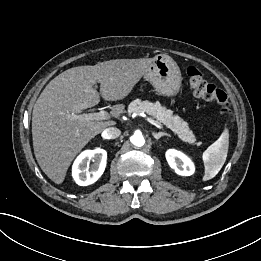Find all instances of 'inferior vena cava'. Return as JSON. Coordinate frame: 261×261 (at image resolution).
<instances>
[{
	"label": "inferior vena cava",
	"mask_w": 261,
	"mask_h": 261,
	"mask_svg": "<svg viewBox=\"0 0 261 261\" xmlns=\"http://www.w3.org/2000/svg\"><path fill=\"white\" fill-rule=\"evenodd\" d=\"M120 134H121V131L118 128L109 127L103 131L102 136L104 139H115V138L119 137Z\"/></svg>",
	"instance_id": "602c4592"
}]
</instances>
